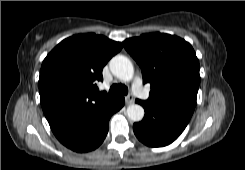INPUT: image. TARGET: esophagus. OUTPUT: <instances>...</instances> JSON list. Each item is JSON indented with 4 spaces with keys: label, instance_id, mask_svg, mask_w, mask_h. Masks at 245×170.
<instances>
[{
    "label": "esophagus",
    "instance_id": "esophagus-1",
    "mask_svg": "<svg viewBox=\"0 0 245 170\" xmlns=\"http://www.w3.org/2000/svg\"><path fill=\"white\" fill-rule=\"evenodd\" d=\"M125 101L126 104H132L134 102L133 96L132 95L125 96Z\"/></svg>",
    "mask_w": 245,
    "mask_h": 170
}]
</instances>
